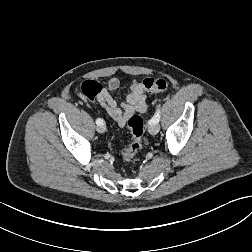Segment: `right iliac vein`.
Here are the masks:
<instances>
[{"mask_svg": "<svg viewBox=\"0 0 252 252\" xmlns=\"http://www.w3.org/2000/svg\"><path fill=\"white\" fill-rule=\"evenodd\" d=\"M105 130H106V126L104 124H101V125L97 126V131L99 133H103V132H105Z\"/></svg>", "mask_w": 252, "mask_h": 252, "instance_id": "63e3f726", "label": "right iliac vein"}]
</instances>
